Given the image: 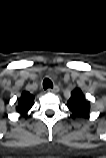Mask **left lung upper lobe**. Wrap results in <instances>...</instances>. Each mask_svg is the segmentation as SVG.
Here are the masks:
<instances>
[{
    "label": "left lung upper lobe",
    "mask_w": 106,
    "mask_h": 158,
    "mask_svg": "<svg viewBox=\"0 0 106 158\" xmlns=\"http://www.w3.org/2000/svg\"><path fill=\"white\" fill-rule=\"evenodd\" d=\"M69 110L76 116L88 117L90 112V102L87 101L80 89H75L71 93L68 101Z\"/></svg>",
    "instance_id": "obj_1"
}]
</instances>
